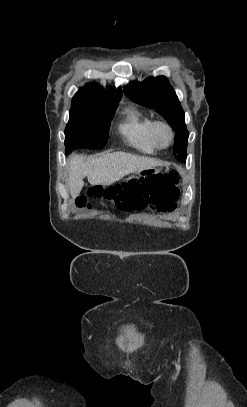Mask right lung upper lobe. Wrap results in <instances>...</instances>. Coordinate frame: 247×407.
I'll return each instance as SVG.
<instances>
[{"instance_id": "right-lung-upper-lobe-1", "label": "right lung upper lobe", "mask_w": 247, "mask_h": 407, "mask_svg": "<svg viewBox=\"0 0 247 407\" xmlns=\"http://www.w3.org/2000/svg\"><path fill=\"white\" fill-rule=\"evenodd\" d=\"M111 96V97H110ZM122 91L119 90H104L98 84H87L83 89H80L72 99V106L106 104L116 102L121 99Z\"/></svg>"}]
</instances>
